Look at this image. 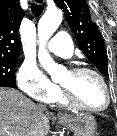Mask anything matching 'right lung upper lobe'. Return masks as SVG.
I'll list each match as a JSON object with an SVG mask.
<instances>
[{
    "label": "right lung upper lobe",
    "mask_w": 117,
    "mask_h": 136,
    "mask_svg": "<svg viewBox=\"0 0 117 136\" xmlns=\"http://www.w3.org/2000/svg\"><path fill=\"white\" fill-rule=\"evenodd\" d=\"M24 11L19 0H0V58H19V27Z\"/></svg>",
    "instance_id": "right-lung-upper-lobe-1"
}]
</instances>
